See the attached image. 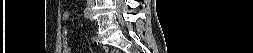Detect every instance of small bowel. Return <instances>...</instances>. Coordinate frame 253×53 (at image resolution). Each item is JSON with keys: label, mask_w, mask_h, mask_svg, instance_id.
Listing matches in <instances>:
<instances>
[{"label": "small bowel", "mask_w": 253, "mask_h": 53, "mask_svg": "<svg viewBox=\"0 0 253 53\" xmlns=\"http://www.w3.org/2000/svg\"><path fill=\"white\" fill-rule=\"evenodd\" d=\"M63 19L64 20H67L68 19V17H69V14H68V12L67 11H65L64 13H63ZM63 47H64V50H65V52H70L71 51V47H70V44H69V39H68V30H67V28H63Z\"/></svg>", "instance_id": "1"}]
</instances>
